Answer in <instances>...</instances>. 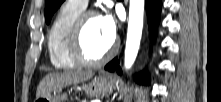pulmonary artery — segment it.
<instances>
[{
  "instance_id": "pulmonary-artery-1",
  "label": "pulmonary artery",
  "mask_w": 221,
  "mask_h": 102,
  "mask_svg": "<svg viewBox=\"0 0 221 102\" xmlns=\"http://www.w3.org/2000/svg\"><path fill=\"white\" fill-rule=\"evenodd\" d=\"M71 2L77 4L78 6L82 7V8H86L87 4H88V0H70Z\"/></svg>"
}]
</instances>
